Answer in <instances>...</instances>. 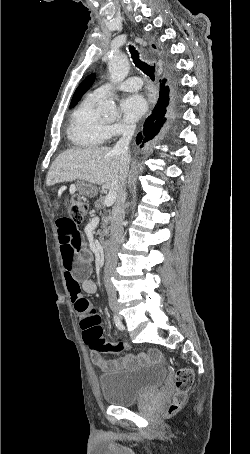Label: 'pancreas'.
<instances>
[{"label":"pancreas","instance_id":"pancreas-1","mask_svg":"<svg viewBox=\"0 0 250 454\" xmlns=\"http://www.w3.org/2000/svg\"><path fill=\"white\" fill-rule=\"evenodd\" d=\"M95 208L97 211H100L101 213V210L104 211V214H102V230L98 231L97 234L100 235V240H103L104 237H108L109 235V222H110V216L107 215V211L105 209V206H104V199L103 198H99L95 203Z\"/></svg>","mask_w":250,"mask_h":454}]
</instances>
